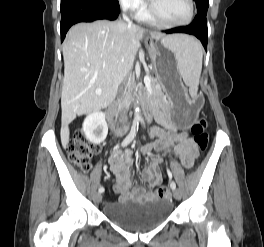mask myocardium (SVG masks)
I'll use <instances>...</instances> for the list:
<instances>
[{
    "mask_svg": "<svg viewBox=\"0 0 264 247\" xmlns=\"http://www.w3.org/2000/svg\"><path fill=\"white\" fill-rule=\"evenodd\" d=\"M188 2V6H189V14L188 17L180 22H169L164 20L163 18H161L155 11L152 3L150 2L148 4V8H147V13L149 14V16L151 17V19L157 23L160 26L163 27H168V28H176V27H183V26H187L190 23H192L194 16H195V4H194V0H187Z\"/></svg>",
    "mask_w": 264,
    "mask_h": 247,
    "instance_id": "1",
    "label": "myocardium"
}]
</instances>
